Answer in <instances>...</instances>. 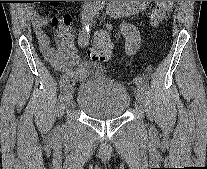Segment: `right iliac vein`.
<instances>
[{"mask_svg": "<svg viewBox=\"0 0 207 169\" xmlns=\"http://www.w3.org/2000/svg\"><path fill=\"white\" fill-rule=\"evenodd\" d=\"M64 98L67 106H70L73 98V85L68 83L64 89Z\"/></svg>", "mask_w": 207, "mask_h": 169, "instance_id": "1", "label": "right iliac vein"}]
</instances>
